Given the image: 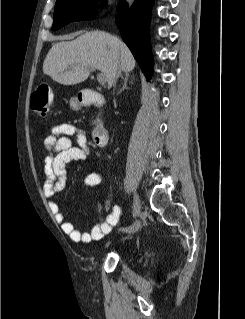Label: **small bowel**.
<instances>
[{"mask_svg": "<svg viewBox=\"0 0 245 319\" xmlns=\"http://www.w3.org/2000/svg\"><path fill=\"white\" fill-rule=\"evenodd\" d=\"M71 137L75 138L76 146L72 145ZM47 154L44 159L45 181L42 186V193L50 198L65 188L66 165L72 161H84L89 156L88 133L86 130L72 124H59L51 128L44 140ZM102 176L99 173H88L82 179L84 188L94 187L101 183ZM100 221L92 228L91 232L83 233L75 228L74 224L67 221L58 203L49 202V207L55 219L61 224L62 230L73 242L90 243L103 238L117 224L121 214V208L115 206L112 212L106 217L103 216V208L99 203L92 202ZM109 203L105 204V209Z\"/></svg>", "mask_w": 245, "mask_h": 319, "instance_id": "small-bowel-1", "label": "small bowel"}]
</instances>
